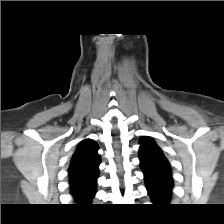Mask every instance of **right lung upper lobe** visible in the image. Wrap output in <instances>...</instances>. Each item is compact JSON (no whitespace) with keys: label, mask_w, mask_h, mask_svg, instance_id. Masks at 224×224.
<instances>
[{"label":"right lung upper lobe","mask_w":224,"mask_h":224,"mask_svg":"<svg viewBox=\"0 0 224 224\" xmlns=\"http://www.w3.org/2000/svg\"><path fill=\"white\" fill-rule=\"evenodd\" d=\"M98 145L93 140L81 141L72 157L68 169L71 193L75 198L90 197L96 192L98 165Z\"/></svg>","instance_id":"cb5924a9"}]
</instances>
